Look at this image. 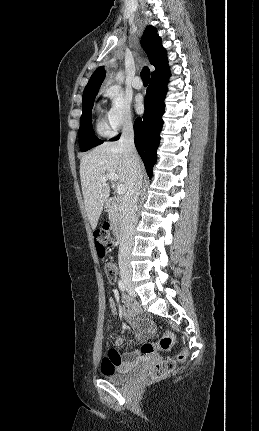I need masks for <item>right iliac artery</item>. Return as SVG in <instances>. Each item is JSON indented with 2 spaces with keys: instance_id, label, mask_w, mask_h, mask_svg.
I'll use <instances>...</instances> for the list:
<instances>
[{
  "instance_id": "obj_1",
  "label": "right iliac artery",
  "mask_w": 259,
  "mask_h": 431,
  "mask_svg": "<svg viewBox=\"0 0 259 431\" xmlns=\"http://www.w3.org/2000/svg\"><path fill=\"white\" fill-rule=\"evenodd\" d=\"M118 286H119V288H120L121 291L124 292L126 290V286H125V284H124V282L122 280H119Z\"/></svg>"
}]
</instances>
